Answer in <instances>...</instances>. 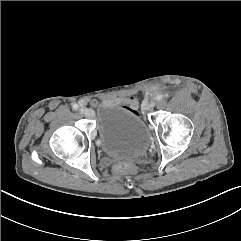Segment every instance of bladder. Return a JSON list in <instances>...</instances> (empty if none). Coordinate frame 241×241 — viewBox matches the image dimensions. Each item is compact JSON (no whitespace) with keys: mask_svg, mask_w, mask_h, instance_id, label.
<instances>
[{"mask_svg":"<svg viewBox=\"0 0 241 241\" xmlns=\"http://www.w3.org/2000/svg\"><path fill=\"white\" fill-rule=\"evenodd\" d=\"M96 131L100 146L114 158H137L149 147L148 129L139 114L114 101L100 106Z\"/></svg>","mask_w":241,"mask_h":241,"instance_id":"obj_1","label":"bladder"}]
</instances>
